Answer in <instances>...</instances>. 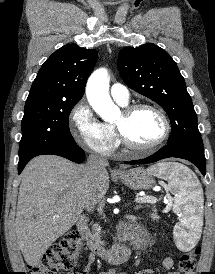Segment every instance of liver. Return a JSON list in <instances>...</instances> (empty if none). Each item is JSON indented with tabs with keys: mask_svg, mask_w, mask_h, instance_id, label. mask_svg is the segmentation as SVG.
<instances>
[{
	"mask_svg": "<svg viewBox=\"0 0 215 274\" xmlns=\"http://www.w3.org/2000/svg\"><path fill=\"white\" fill-rule=\"evenodd\" d=\"M109 187L104 170L94 181L85 165L43 155L21 175L15 233L26 263L36 266L46 250L77 222L89 200L99 202Z\"/></svg>",
	"mask_w": 215,
	"mask_h": 274,
	"instance_id": "1",
	"label": "liver"
}]
</instances>
